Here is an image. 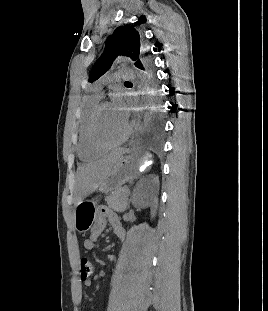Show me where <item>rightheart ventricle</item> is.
<instances>
[{
  "mask_svg": "<svg viewBox=\"0 0 268 311\" xmlns=\"http://www.w3.org/2000/svg\"><path fill=\"white\" fill-rule=\"evenodd\" d=\"M98 103L99 97L97 96L88 97L84 102L83 109L79 116L77 152L79 158L83 161L94 159L101 153V150L96 149L90 143L88 137V121L93 109L96 107Z\"/></svg>",
  "mask_w": 268,
  "mask_h": 311,
  "instance_id": "right-heart-ventricle-1",
  "label": "right heart ventricle"
}]
</instances>
